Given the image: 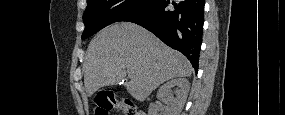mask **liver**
Wrapping results in <instances>:
<instances>
[{"mask_svg":"<svg viewBox=\"0 0 285 115\" xmlns=\"http://www.w3.org/2000/svg\"><path fill=\"white\" fill-rule=\"evenodd\" d=\"M84 85L88 96L100 88L125 84L138 101L167 80L192 74L190 62L156 36L133 23L113 24L100 31L90 42L84 63ZM129 71V72H127Z\"/></svg>","mask_w":285,"mask_h":115,"instance_id":"liver-1","label":"liver"}]
</instances>
